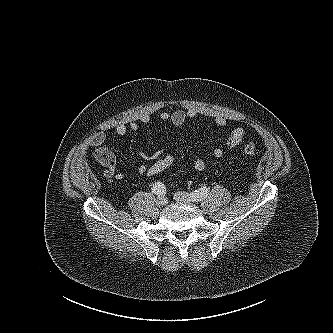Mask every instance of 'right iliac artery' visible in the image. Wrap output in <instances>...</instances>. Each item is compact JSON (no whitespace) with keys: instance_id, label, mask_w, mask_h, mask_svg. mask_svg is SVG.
Segmentation results:
<instances>
[{"instance_id":"obj_1","label":"right iliac artery","mask_w":333,"mask_h":333,"mask_svg":"<svg viewBox=\"0 0 333 333\" xmlns=\"http://www.w3.org/2000/svg\"><path fill=\"white\" fill-rule=\"evenodd\" d=\"M152 190H153V193H155L158 196L166 194V187L160 181L159 182H155V184H153Z\"/></svg>"}]
</instances>
